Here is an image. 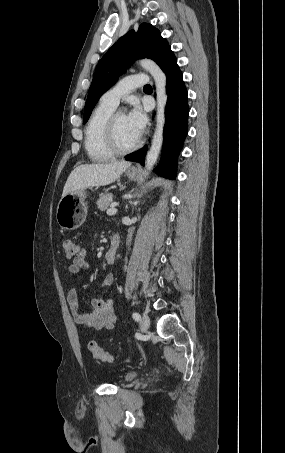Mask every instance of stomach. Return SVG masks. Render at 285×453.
Returning <instances> with one entry per match:
<instances>
[{
    "mask_svg": "<svg viewBox=\"0 0 285 453\" xmlns=\"http://www.w3.org/2000/svg\"><path fill=\"white\" fill-rule=\"evenodd\" d=\"M126 175L130 180H136L138 170L130 168L126 171ZM86 196V190L80 189L61 198L57 205L56 220L62 229L75 230L84 223L87 216Z\"/></svg>",
    "mask_w": 285,
    "mask_h": 453,
    "instance_id": "0dacf381",
    "label": "stomach"
}]
</instances>
